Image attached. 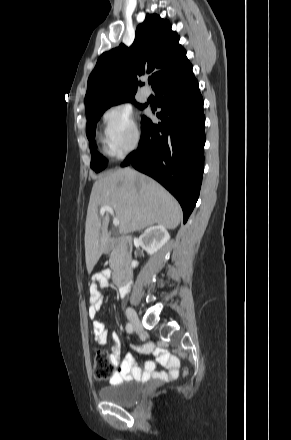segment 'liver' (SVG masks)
Masks as SVG:
<instances>
[{"instance_id": "liver-1", "label": "liver", "mask_w": 291, "mask_h": 440, "mask_svg": "<svg viewBox=\"0 0 291 440\" xmlns=\"http://www.w3.org/2000/svg\"><path fill=\"white\" fill-rule=\"evenodd\" d=\"M110 206L120 221L119 232L126 235L158 224L176 228L182 218L177 200L152 178L133 169H119L93 184L85 227V257L91 273L108 245L109 215L100 217L99 207Z\"/></svg>"}]
</instances>
